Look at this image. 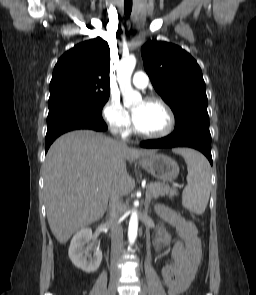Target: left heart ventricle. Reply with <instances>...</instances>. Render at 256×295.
<instances>
[{
	"label": "left heart ventricle",
	"mask_w": 256,
	"mask_h": 295,
	"mask_svg": "<svg viewBox=\"0 0 256 295\" xmlns=\"http://www.w3.org/2000/svg\"><path fill=\"white\" fill-rule=\"evenodd\" d=\"M140 110L135 124L139 130L146 133H157L167 125V115L163 108L157 104L137 102L132 110Z\"/></svg>",
	"instance_id": "left-heart-ventricle-1"
}]
</instances>
